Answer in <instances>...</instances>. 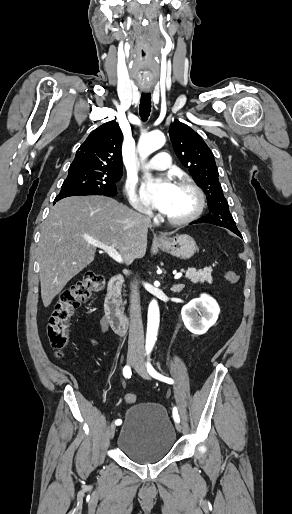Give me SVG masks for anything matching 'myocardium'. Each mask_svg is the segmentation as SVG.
<instances>
[{
	"mask_svg": "<svg viewBox=\"0 0 292 514\" xmlns=\"http://www.w3.org/2000/svg\"><path fill=\"white\" fill-rule=\"evenodd\" d=\"M177 187L188 189L195 196L194 209L188 215H186L184 217H173L166 213L163 214L164 217L166 218V220L169 221L170 223L176 224V225H181V224H185V223H188V222L194 220L195 218H197L200 215V213L203 210V206H204V195H203V192L200 189V187L191 179L180 180L179 183L177 184Z\"/></svg>",
	"mask_w": 292,
	"mask_h": 514,
	"instance_id": "myocardium-1",
	"label": "myocardium"
}]
</instances>
